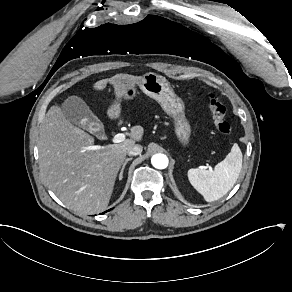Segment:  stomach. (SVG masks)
I'll use <instances>...</instances> for the list:
<instances>
[{
	"label": "stomach",
	"mask_w": 292,
	"mask_h": 292,
	"mask_svg": "<svg viewBox=\"0 0 292 292\" xmlns=\"http://www.w3.org/2000/svg\"><path fill=\"white\" fill-rule=\"evenodd\" d=\"M136 84L144 94L156 100L164 112L173 118L177 138L183 145L188 144L191 128L185 117L184 102L175 95L166 78L153 72L144 74L139 80L132 83L122 78L118 82V86L124 91L121 97L133 99L136 93ZM119 114L120 104L117 102L108 110V115L111 118H117Z\"/></svg>",
	"instance_id": "0dacf381"
}]
</instances>
